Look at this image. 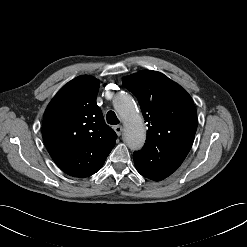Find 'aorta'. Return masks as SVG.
<instances>
[{
  "mask_svg": "<svg viewBox=\"0 0 247 247\" xmlns=\"http://www.w3.org/2000/svg\"><path fill=\"white\" fill-rule=\"evenodd\" d=\"M114 107L124 122L125 143L131 150L141 149L146 140V129L133 98L122 93L115 99Z\"/></svg>",
  "mask_w": 247,
  "mask_h": 247,
  "instance_id": "obj_1",
  "label": "aorta"
}]
</instances>
